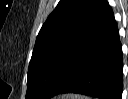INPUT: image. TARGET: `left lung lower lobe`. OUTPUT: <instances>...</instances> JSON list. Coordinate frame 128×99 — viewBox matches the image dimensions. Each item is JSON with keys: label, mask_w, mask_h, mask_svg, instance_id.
<instances>
[{"label": "left lung lower lobe", "mask_w": 128, "mask_h": 99, "mask_svg": "<svg viewBox=\"0 0 128 99\" xmlns=\"http://www.w3.org/2000/svg\"><path fill=\"white\" fill-rule=\"evenodd\" d=\"M122 70V45L109 6L86 42L65 63L47 99L63 93L121 99Z\"/></svg>", "instance_id": "left-lung-lower-lobe-1"}]
</instances>
